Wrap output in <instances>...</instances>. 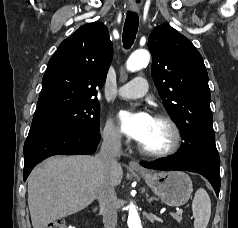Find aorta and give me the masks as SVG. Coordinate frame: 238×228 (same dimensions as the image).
Here are the masks:
<instances>
[{"instance_id": "obj_1", "label": "aorta", "mask_w": 238, "mask_h": 228, "mask_svg": "<svg viewBox=\"0 0 238 228\" xmlns=\"http://www.w3.org/2000/svg\"><path fill=\"white\" fill-rule=\"evenodd\" d=\"M150 60V54L145 49H140L133 52L127 60L126 68L128 71L135 72L143 67H146ZM128 228H143L141 219L134 203L128 205Z\"/></svg>"}]
</instances>
